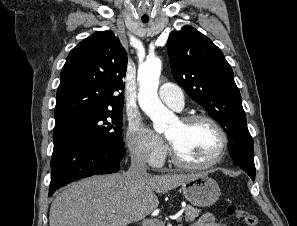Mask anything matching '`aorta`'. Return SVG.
<instances>
[{"label": "aorta", "mask_w": 297, "mask_h": 226, "mask_svg": "<svg viewBox=\"0 0 297 226\" xmlns=\"http://www.w3.org/2000/svg\"><path fill=\"white\" fill-rule=\"evenodd\" d=\"M161 61L158 58H149L138 69L139 82L138 102L141 109L153 121L156 131H164L171 116L170 111L162 104L158 97Z\"/></svg>", "instance_id": "762f6f07"}]
</instances>
